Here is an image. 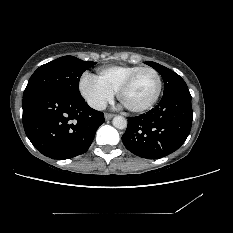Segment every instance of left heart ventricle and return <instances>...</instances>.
Segmentation results:
<instances>
[{
    "label": "left heart ventricle",
    "mask_w": 233,
    "mask_h": 233,
    "mask_svg": "<svg viewBox=\"0 0 233 233\" xmlns=\"http://www.w3.org/2000/svg\"><path fill=\"white\" fill-rule=\"evenodd\" d=\"M157 78L151 71L141 74L133 85L123 94L122 103L129 107H140L148 103L155 95Z\"/></svg>",
    "instance_id": "b2bd125f"
}]
</instances>
